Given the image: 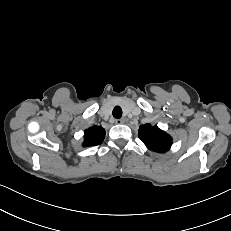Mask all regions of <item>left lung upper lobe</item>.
<instances>
[{"mask_svg": "<svg viewBox=\"0 0 231 231\" xmlns=\"http://www.w3.org/2000/svg\"><path fill=\"white\" fill-rule=\"evenodd\" d=\"M139 138L148 149L158 153L168 151L172 145V138L156 125H141L139 128Z\"/></svg>", "mask_w": 231, "mask_h": 231, "instance_id": "5c2ea615", "label": "left lung upper lobe"}]
</instances>
